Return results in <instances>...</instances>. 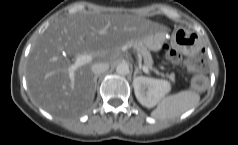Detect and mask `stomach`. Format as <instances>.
<instances>
[{
    "label": "stomach",
    "instance_id": "stomach-1",
    "mask_svg": "<svg viewBox=\"0 0 238 145\" xmlns=\"http://www.w3.org/2000/svg\"><path fill=\"white\" fill-rule=\"evenodd\" d=\"M200 37L194 31L179 28L174 32L171 44L175 51L188 55L200 48Z\"/></svg>",
    "mask_w": 238,
    "mask_h": 145
}]
</instances>
